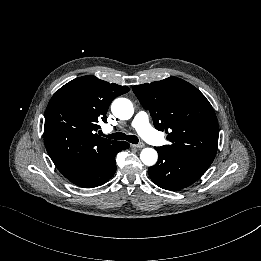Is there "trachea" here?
Wrapping results in <instances>:
<instances>
[{"instance_id": "trachea-1", "label": "trachea", "mask_w": 261, "mask_h": 261, "mask_svg": "<svg viewBox=\"0 0 261 261\" xmlns=\"http://www.w3.org/2000/svg\"><path fill=\"white\" fill-rule=\"evenodd\" d=\"M107 137L110 139H115V140H126L133 144H138V142H139V140L136 136L126 135L125 133H121V132L109 134Z\"/></svg>"}]
</instances>
